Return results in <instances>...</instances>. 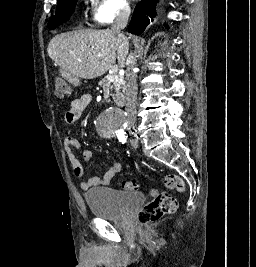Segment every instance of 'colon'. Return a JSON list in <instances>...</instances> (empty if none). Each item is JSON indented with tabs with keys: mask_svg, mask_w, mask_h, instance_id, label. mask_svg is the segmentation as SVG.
<instances>
[{
	"mask_svg": "<svg viewBox=\"0 0 256 267\" xmlns=\"http://www.w3.org/2000/svg\"><path fill=\"white\" fill-rule=\"evenodd\" d=\"M55 93L57 97H66L71 93V84L69 81H65V77H55ZM164 182L166 186L177 192H184L185 184L184 181L176 175L168 174L164 176ZM122 188L127 191L137 192L139 185L136 182H123ZM157 188H151V195H156ZM156 200H151L149 203L143 206L137 213V223L140 224L141 228H150L149 222H156L161 217L176 212L178 208V202L175 196L160 195Z\"/></svg>",
	"mask_w": 256,
	"mask_h": 267,
	"instance_id": "5ec220e1",
	"label": "colon"
}]
</instances>
